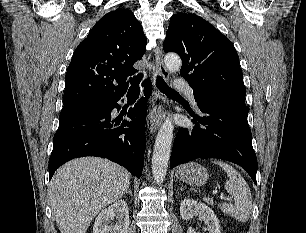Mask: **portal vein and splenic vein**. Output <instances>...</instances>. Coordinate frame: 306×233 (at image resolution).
I'll list each match as a JSON object with an SVG mask.
<instances>
[{"instance_id":"portal-vein-and-splenic-vein-1","label":"portal vein and splenic vein","mask_w":306,"mask_h":233,"mask_svg":"<svg viewBox=\"0 0 306 233\" xmlns=\"http://www.w3.org/2000/svg\"><path fill=\"white\" fill-rule=\"evenodd\" d=\"M212 194H217V190H213V192H212ZM220 198L221 199H226V200H229V201H231V199L230 198H227L226 196H224L223 194L220 196Z\"/></svg>"}]
</instances>
